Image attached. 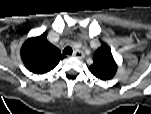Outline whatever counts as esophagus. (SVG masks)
<instances>
[{"instance_id": "obj_1", "label": "esophagus", "mask_w": 151, "mask_h": 114, "mask_svg": "<svg viewBox=\"0 0 151 114\" xmlns=\"http://www.w3.org/2000/svg\"><path fill=\"white\" fill-rule=\"evenodd\" d=\"M73 56L79 59H82L84 57V53L81 50H75L73 52Z\"/></svg>"}]
</instances>
